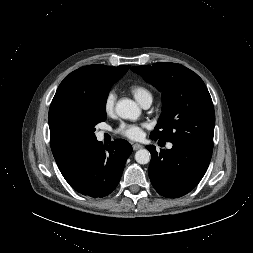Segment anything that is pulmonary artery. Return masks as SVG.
Listing matches in <instances>:
<instances>
[{"label":"pulmonary artery","instance_id":"obj_1","mask_svg":"<svg viewBox=\"0 0 253 253\" xmlns=\"http://www.w3.org/2000/svg\"><path fill=\"white\" fill-rule=\"evenodd\" d=\"M151 103H152V101H150V100H149V101H146L145 103L142 104V107H143V108H149L150 105H151ZM102 135H103L102 132L99 133V136H100V137H102ZM172 146H173V145H172L171 143H169V144L167 145V148H168V149H171Z\"/></svg>","mask_w":253,"mask_h":253}]
</instances>
